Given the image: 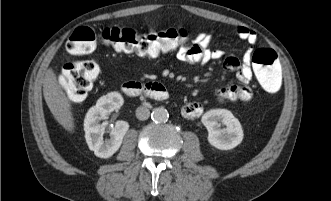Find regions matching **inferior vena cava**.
I'll use <instances>...</instances> for the list:
<instances>
[{
  "label": "inferior vena cava",
  "instance_id": "602c4592",
  "mask_svg": "<svg viewBox=\"0 0 331 201\" xmlns=\"http://www.w3.org/2000/svg\"><path fill=\"white\" fill-rule=\"evenodd\" d=\"M149 116H150V111L148 108L141 106L136 109L137 119L144 121L147 120Z\"/></svg>",
  "mask_w": 331,
  "mask_h": 201
}]
</instances>
